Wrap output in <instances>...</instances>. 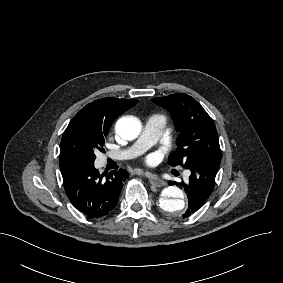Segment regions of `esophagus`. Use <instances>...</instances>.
Here are the masks:
<instances>
[{
	"label": "esophagus",
	"mask_w": 283,
	"mask_h": 283,
	"mask_svg": "<svg viewBox=\"0 0 283 283\" xmlns=\"http://www.w3.org/2000/svg\"><path fill=\"white\" fill-rule=\"evenodd\" d=\"M140 174L145 175L146 177H148V179L150 180L151 184L156 186V187H162L164 185H166V183L159 179L156 175L148 173V172H140Z\"/></svg>",
	"instance_id": "34e87169"
}]
</instances>
